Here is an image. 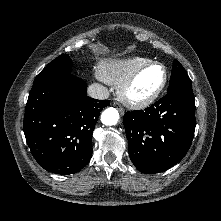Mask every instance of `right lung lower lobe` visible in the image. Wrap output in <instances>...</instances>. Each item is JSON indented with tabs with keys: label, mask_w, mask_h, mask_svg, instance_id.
I'll list each match as a JSON object with an SVG mask.
<instances>
[{
	"label": "right lung lower lobe",
	"mask_w": 221,
	"mask_h": 221,
	"mask_svg": "<svg viewBox=\"0 0 221 221\" xmlns=\"http://www.w3.org/2000/svg\"><path fill=\"white\" fill-rule=\"evenodd\" d=\"M84 80L70 73L29 93L23 129L35 160L56 174L79 172L92 156V133L109 100L86 95Z\"/></svg>",
	"instance_id": "98d812e1"
}]
</instances>
